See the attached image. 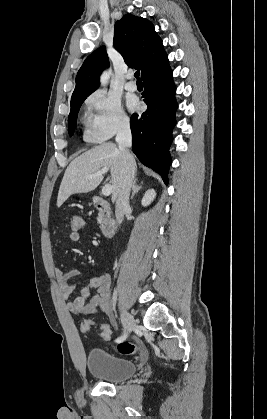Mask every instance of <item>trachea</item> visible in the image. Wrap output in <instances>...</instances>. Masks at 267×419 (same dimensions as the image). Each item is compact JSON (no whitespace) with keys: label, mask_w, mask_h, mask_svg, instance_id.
Returning a JSON list of instances; mask_svg holds the SVG:
<instances>
[{"label":"trachea","mask_w":267,"mask_h":419,"mask_svg":"<svg viewBox=\"0 0 267 419\" xmlns=\"http://www.w3.org/2000/svg\"><path fill=\"white\" fill-rule=\"evenodd\" d=\"M134 75H135V78L137 79V81L141 80L140 77H139L140 76V71H136Z\"/></svg>","instance_id":"trachea-1"}]
</instances>
